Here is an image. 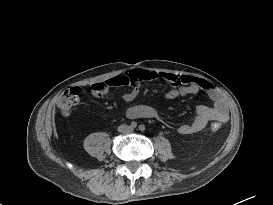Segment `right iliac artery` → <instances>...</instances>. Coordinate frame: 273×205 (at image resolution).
Returning a JSON list of instances; mask_svg holds the SVG:
<instances>
[{
    "label": "right iliac artery",
    "instance_id": "right-iliac-artery-1",
    "mask_svg": "<svg viewBox=\"0 0 273 205\" xmlns=\"http://www.w3.org/2000/svg\"><path fill=\"white\" fill-rule=\"evenodd\" d=\"M132 128H136L137 127V123L136 122H132L130 125Z\"/></svg>",
    "mask_w": 273,
    "mask_h": 205
}]
</instances>
